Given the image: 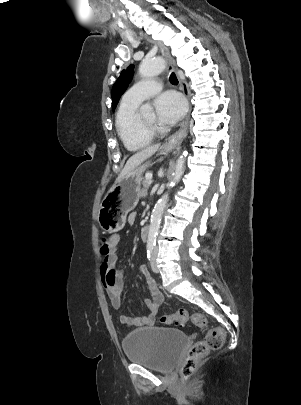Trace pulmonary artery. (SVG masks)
I'll use <instances>...</instances> for the list:
<instances>
[{"instance_id":"e3ab8cb5","label":"pulmonary artery","mask_w":301,"mask_h":405,"mask_svg":"<svg viewBox=\"0 0 301 405\" xmlns=\"http://www.w3.org/2000/svg\"><path fill=\"white\" fill-rule=\"evenodd\" d=\"M162 83L157 79H145L133 85L123 96V102L139 105L143 100L157 94Z\"/></svg>"}]
</instances>
